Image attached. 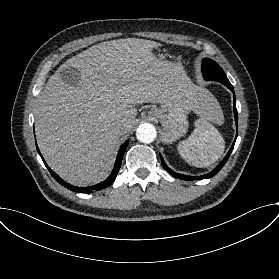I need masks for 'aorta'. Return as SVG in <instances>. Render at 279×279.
Returning <instances> with one entry per match:
<instances>
[{
  "mask_svg": "<svg viewBox=\"0 0 279 279\" xmlns=\"http://www.w3.org/2000/svg\"><path fill=\"white\" fill-rule=\"evenodd\" d=\"M157 132L155 127L150 123L140 124L136 130L137 139L145 144L151 143L156 138Z\"/></svg>",
  "mask_w": 279,
  "mask_h": 279,
  "instance_id": "aorta-1",
  "label": "aorta"
}]
</instances>
